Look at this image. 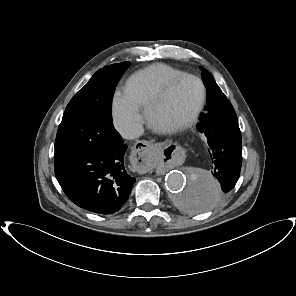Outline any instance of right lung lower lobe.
<instances>
[{
    "label": "right lung lower lobe",
    "mask_w": 296,
    "mask_h": 296,
    "mask_svg": "<svg viewBox=\"0 0 296 296\" xmlns=\"http://www.w3.org/2000/svg\"><path fill=\"white\" fill-rule=\"evenodd\" d=\"M126 149L122 140L115 147L55 159V176L66 196L93 213L118 212L128 200L135 182L124 167Z\"/></svg>",
    "instance_id": "1"
}]
</instances>
